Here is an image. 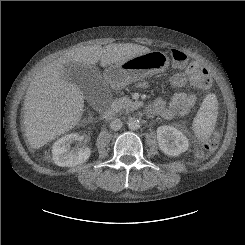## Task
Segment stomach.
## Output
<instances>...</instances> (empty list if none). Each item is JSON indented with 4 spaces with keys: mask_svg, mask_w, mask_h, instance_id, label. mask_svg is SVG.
Listing matches in <instances>:
<instances>
[{
    "mask_svg": "<svg viewBox=\"0 0 245 245\" xmlns=\"http://www.w3.org/2000/svg\"><path fill=\"white\" fill-rule=\"evenodd\" d=\"M169 64L170 59L165 53L150 51L123 63L111 65L104 76L112 88L119 89L131 82L164 72Z\"/></svg>",
    "mask_w": 245,
    "mask_h": 245,
    "instance_id": "stomach-1",
    "label": "stomach"
}]
</instances>
